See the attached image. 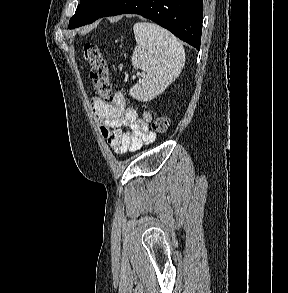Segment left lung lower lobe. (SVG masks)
I'll use <instances>...</instances> for the list:
<instances>
[{
  "mask_svg": "<svg viewBox=\"0 0 288 293\" xmlns=\"http://www.w3.org/2000/svg\"><path fill=\"white\" fill-rule=\"evenodd\" d=\"M139 14L200 49L203 0H116L101 16Z\"/></svg>",
  "mask_w": 288,
  "mask_h": 293,
  "instance_id": "left-lung-lower-lobe-1",
  "label": "left lung lower lobe"
}]
</instances>
